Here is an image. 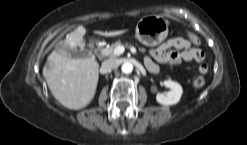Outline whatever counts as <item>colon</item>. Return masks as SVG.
I'll use <instances>...</instances> for the list:
<instances>
[{
  "mask_svg": "<svg viewBox=\"0 0 247 145\" xmlns=\"http://www.w3.org/2000/svg\"><path fill=\"white\" fill-rule=\"evenodd\" d=\"M192 37V35H190ZM209 70V67L207 64L203 63L199 66V71L201 74H206ZM205 77L204 76H198L193 80V86L195 88H201L205 85Z\"/></svg>",
  "mask_w": 247,
  "mask_h": 145,
  "instance_id": "colon-1",
  "label": "colon"
}]
</instances>
